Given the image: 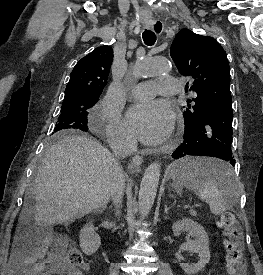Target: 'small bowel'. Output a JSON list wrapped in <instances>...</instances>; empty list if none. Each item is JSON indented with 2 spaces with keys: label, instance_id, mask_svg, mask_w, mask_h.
<instances>
[{
  "label": "small bowel",
  "instance_id": "c3829d8e",
  "mask_svg": "<svg viewBox=\"0 0 263 275\" xmlns=\"http://www.w3.org/2000/svg\"><path fill=\"white\" fill-rule=\"evenodd\" d=\"M20 263L25 275H84L83 271L69 272L62 247L55 243L51 234L21 256Z\"/></svg>",
  "mask_w": 263,
  "mask_h": 275
}]
</instances>
